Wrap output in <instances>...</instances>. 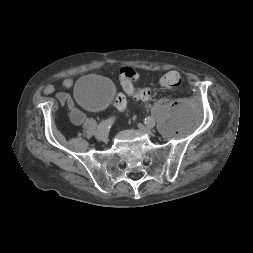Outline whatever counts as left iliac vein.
<instances>
[{
    "mask_svg": "<svg viewBox=\"0 0 253 253\" xmlns=\"http://www.w3.org/2000/svg\"><path fill=\"white\" fill-rule=\"evenodd\" d=\"M138 127L141 130L145 131L146 133L151 134V128H152L151 126L138 124Z\"/></svg>",
    "mask_w": 253,
    "mask_h": 253,
    "instance_id": "obj_1",
    "label": "left iliac vein"
}]
</instances>
